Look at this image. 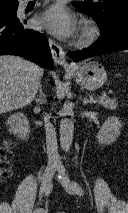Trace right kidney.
<instances>
[{
  "label": "right kidney",
  "mask_w": 128,
  "mask_h": 213,
  "mask_svg": "<svg viewBox=\"0 0 128 213\" xmlns=\"http://www.w3.org/2000/svg\"><path fill=\"white\" fill-rule=\"evenodd\" d=\"M9 132L13 133L20 139H28L30 126L27 117L23 113L11 115L7 120Z\"/></svg>",
  "instance_id": "ca27d5eb"
}]
</instances>
